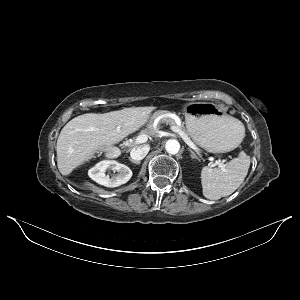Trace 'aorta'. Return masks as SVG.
<instances>
[{
  "label": "aorta",
  "instance_id": "aorta-1",
  "mask_svg": "<svg viewBox=\"0 0 300 300\" xmlns=\"http://www.w3.org/2000/svg\"><path fill=\"white\" fill-rule=\"evenodd\" d=\"M165 149L169 154L175 155L180 151V143L176 139L167 140Z\"/></svg>",
  "mask_w": 300,
  "mask_h": 300
}]
</instances>
